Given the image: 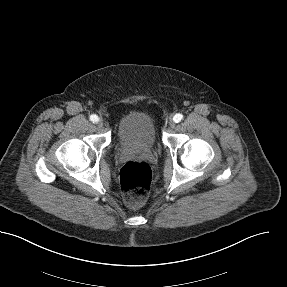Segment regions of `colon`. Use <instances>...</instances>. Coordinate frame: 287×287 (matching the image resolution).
Wrapping results in <instances>:
<instances>
[{
	"label": "colon",
	"instance_id": "5ec220e1",
	"mask_svg": "<svg viewBox=\"0 0 287 287\" xmlns=\"http://www.w3.org/2000/svg\"><path fill=\"white\" fill-rule=\"evenodd\" d=\"M152 182V171L145 162H127L120 171V184L127 205L136 207L147 198Z\"/></svg>",
	"mask_w": 287,
	"mask_h": 287
}]
</instances>
